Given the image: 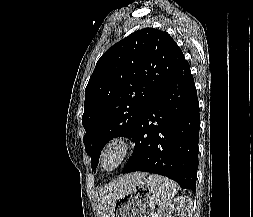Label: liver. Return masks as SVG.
<instances>
[{"label":"liver","instance_id":"1","mask_svg":"<svg viewBox=\"0 0 253 217\" xmlns=\"http://www.w3.org/2000/svg\"><path fill=\"white\" fill-rule=\"evenodd\" d=\"M145 175L140 172L122 175L100 188L95 195L98 217H111L115 202Z\"/></svg>","mask_w":253,"mask_h":217}]
</instances>
